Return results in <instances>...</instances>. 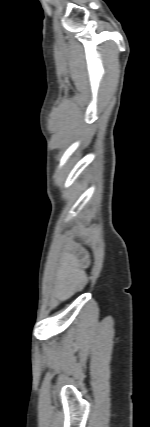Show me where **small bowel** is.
I'll list each match as a JSON object with an SVG mask.
<instances>
[{
  "instance_id": "c3829d8e",
  "label": "small bowel",
  "mask_w": 150,
  "mask_h": 427,
  "mask_svg": "<svg viewBox=\"0 0 150 427\" xmlns=\"http://www.w3.org/2000/svg\"><path fill=\"white\" fill-rule=\"evenodd\" d=\"M74 286H75V282L72 280H66L63 283H61L57 290L58 299H65L66 297H68L70 293L73 291Z\"/></svg>"
}]
</instances>
